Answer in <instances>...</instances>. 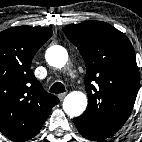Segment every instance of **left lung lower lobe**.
I'll return each instance as SVG.
<instances>
[{"label": "left lung lower lobe", "mask_w": 142, "mask_h": 142, "mask_svg": "<svg viewBox=\"0 0 142 142\" xmlns=\"http://www.w3.org/2000/svg\"><path fill=\"white\" fill-rule=\"evenodd\" d=\"M74 124L78 129V131L80 132V134L86 139L100 142L109 137L93 129L87 122H85L83 119L79 117L74 118Z\"/></svg>", "instance_id": "left-lung-lower-lobe-1"}]
</instances>
